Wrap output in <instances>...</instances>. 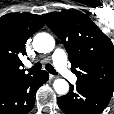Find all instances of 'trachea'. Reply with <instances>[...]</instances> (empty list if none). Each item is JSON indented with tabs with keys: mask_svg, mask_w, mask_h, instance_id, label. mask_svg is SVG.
I'll list each match as a JSON object with an SVG mask.
<instances>
[{
	"mask_svg": "<svg viewBox=\"0 0 114 114\" xmlns=\"http://www.w3.org/2000/svg\"><path fill=\"white\" fill-rule=\"evenodd\" d=\"M41 68H42V65H41V63L38 62V63H36L34 66H32L30 69H28V72H30V73H36V72L40 71ZM45 68H46V70H47L49 73H51V74H53V75H57V72H56V70L53 68L52 65L46 64V65H45Z\"/></svg>",
	"mask_w": 114,
	"mask_h": 114,
	"instance_id": "trachea-1",
	"label": "trachea"
}]
</instances>
